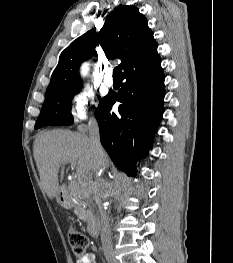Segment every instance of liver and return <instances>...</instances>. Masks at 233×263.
Masks as SVG:
<instances>
[{"mask_svg": "<svg viewBox=\"0 0 233 263\" xmlns=\"http://www.w3.org/2000/svg\"><path fill=\"white\" fill-rule=\"evenodd\" d=\"M34 158L41 180V189L53 199L60 193L58 173L62 164L77 165L79 180H91L100 169L109 167V158L102 149L100 163L95 161L90 139L85 134L65 130L40 133L34 142Z\"/></svg>", "mask_w": 233, "mask_h": 263, "instance_id": "obj_1", "label": "liver"}]
</instances>
